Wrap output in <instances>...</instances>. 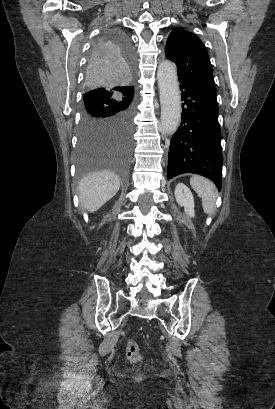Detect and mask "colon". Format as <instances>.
Instances as JSON below:
<instances>
[{
    "label": "colon",
    "mask_w": 275,
    "mask_h": 409,
    "mask_svg": "<svg viewBox=\"0 0 275 409\" xmlns=\"http://www.w3.org/2000/svg\"><path fill=\"white\" fill-rule=\"evenodd\" d=\"M126 356L132 362H140L142 359L141 351L138 344L133 341L129 340L126 345Z\"/></svg>",
    "instance_id": "1"
}]
</instances>
